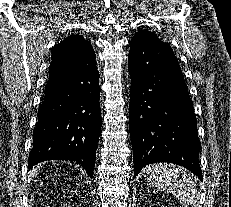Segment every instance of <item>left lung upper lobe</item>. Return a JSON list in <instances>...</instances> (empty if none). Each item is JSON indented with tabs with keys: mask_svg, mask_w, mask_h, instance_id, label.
Segmentation results:
<instances>
[{
	"mask_svg": "<svg viewBox=\"0 0 231 207\" xmlns=\"http://www.w3.org/2000/svg\"><path fill=\"white\" fill-rule=\"evenodd\" d=\"M131 41H155L163 43L154 33L148 30H139Z\"/></svg>",
	"mask_w": 231,
	"mask_h": 207,
	"instance_id": "obj_1",
	"label": "left lung upper lobe"
}]
</instances>
